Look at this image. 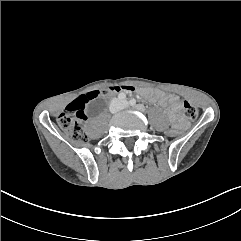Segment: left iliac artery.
<instances>
[{"label":"left iliac artery","instance_id":"obj_1","mask_svg":"<svg viewBox=\"0 0 241 241\" xmlns=\"http://www.w3.org/2000/svg\"><path fill=\"white\" fill-rule=\"evenodd\" d=\"M129 104H130L131 106H135V105H136V100H135V99H131V100L129 101Z\"/></svg>","mask_w":241,"mask_h":241}]
</instances>
